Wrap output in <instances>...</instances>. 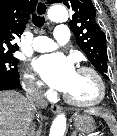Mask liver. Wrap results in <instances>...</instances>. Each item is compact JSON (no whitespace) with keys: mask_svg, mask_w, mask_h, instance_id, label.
Segmentation results:
<instances>
[{"mask_svg":"<svg viewBox=\"0 0 117 136\" xmlns=\"http://www.w3.org/2000/svg\"><path fill=\"white\" fill-rule=\"evenodd\" d=\"M35 109L17 91H0V136H26Z\"/></svg>","mask_w":117,"mask_h":136,"instance_id":"6515ba94","label":"liver"}]
</instances>
